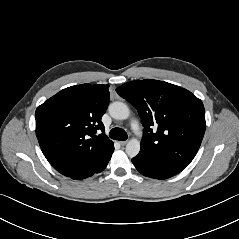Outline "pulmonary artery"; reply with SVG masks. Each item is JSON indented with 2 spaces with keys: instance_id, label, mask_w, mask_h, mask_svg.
I'll use <instances>...</instances> for the list:
<instances>
[{
  "instance_id": "obj_1",
  "label": "pulmonary artery",
  "mask_w": 239,
  "mask_h": 239,
  "mask_svg": "<svg viewBox=\"0 0 239 239\" xmlns=\"http://www.w3.org/2000/svg\"><path fill=\"white\" fill-rule=\"evenodd\" d=\"M131 126H132V129H133L136 133H138V131H139V126H138L137 122H133Z\"/></svg>"
}]
</instances>
